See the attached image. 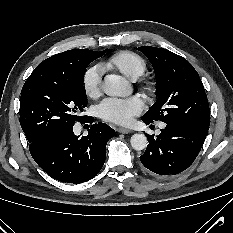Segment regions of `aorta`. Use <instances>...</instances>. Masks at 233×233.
Returning a JSON list of instances; mask_svg holds the SVG:
<instances>
[{"mask_svg":"<svg viewBox=\"0 0 233 233\" xmlns=\"http://www.w3.org/2000/svg\"><path fill=\"white\" fill-rule=\"evenodd\" d=\"M103 91L109 96H127L132 88L128 81L119 75H107L103 83ZM147 137L144 134H134L130 143L133 149L141 151L147 147Z\"/></svg>","mask_w":233,"mask_h":233,"instance_id":"762f6f07","label":"aorta"}]
</instances>
